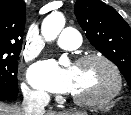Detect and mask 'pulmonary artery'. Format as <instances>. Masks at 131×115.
Here are the masks:
<instances>
[{
	"instance_id": "e3ab8cb5",
	"label": "pulmonary artery",
	"mask_w": 131,
	"mask_h": 115,
	"mask_svg": "<svg viewBox=\"0 0 131 115\" xmlns=\"http://www.w3.org/2000/svg\"><path fill=\"white\" fill-rule=\"evenodd\" d=\"M81 37L77 30L65 28L56 40V44L63 49L72 50L80 46Z\"/></svg>"
}]
</instances>
